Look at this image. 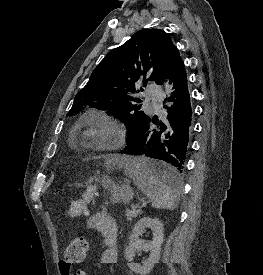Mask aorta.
<instances>
[{"label":"aorta","instance_id":"1","mask_svg":"<svg viewBox=\"0 0 263 275\" xmlns=\"http://www.w3.org/2000/svg\"><path fill=\"white\" fill-rule=\"evenodd\" d=\"M164 86H165L166 93H167L168 97H170V96H171V93L173 92V90H172V85L169 84L168 81H165V82H164Z\"/></svg>","mask_w":263,"mask_h":275}]
</instances>
